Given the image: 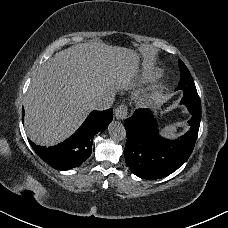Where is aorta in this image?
<instances>
[{
    "label": "aorta",
    "mask_w": 228,
    "mask_h": 228,
    "mask_svg": "<svg viewBox=\"0 0 228 228\" xmlns=\"http://www.w3.org/2000/svg\"><path fill=\"white\" fill-rule=\"evenodd\" d=\"M111 138L115 141H121L126 138V130L122 123L113 121L108 127Z\"/></svg>",
    "instance_id": "762f6f07"
}]
</instances>
